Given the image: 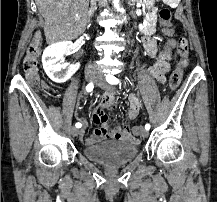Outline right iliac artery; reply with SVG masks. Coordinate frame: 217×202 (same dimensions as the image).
Returning a JSON list of instances; mask_svg holds the SVG:
<instances>
[{
    "label": "right iliac artery",
    "instance_id": "right-iliac-artery-1",
    "mask_svg": "<svg viewBox=\"0 0 217 202\" xmlns=\"http://www.w3.org/2000/svg\"><path fill=\"white\" fill-rule=\"evenodd\" d=\"M93 88H94V85H93V83L91 82V83H89V84L86 86V91H87V92H91V91L93 90ZM75 126H76V128H81L82 124L78 122V123L75 124Z\"/></svg>",
    "mask_w": 217,
    "mask_h": 202
}]
</instances>
